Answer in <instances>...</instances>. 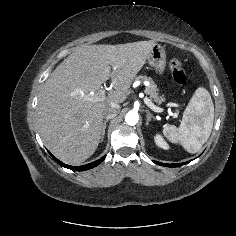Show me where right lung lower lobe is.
I'll return each mask as SVG.
<instances>
[{
	"mask_svg": "<svg viewBox=\"0 0 236 236\" xmlns=\"http://www.w3.org/2000/svg\"><path fill=\"white\" fill-rule=\"evenodd\" d=\"M51 157L58 163L60 164L62 167H65V168H68V169H71V170H74V171H85V170H88V169H91V168H94L96 167L97 165H99L104 159H105V156H103L101 159L99 160H96L92 163H89L87 165H83V166H69V165H66L64 163H62L61 161H59L58 159H56L51 153H50Z\"/></svg>",
	"mask_w": 236,
	"mask_h": 236,
	"instance_id": "obj_1",
	"label": "right lung lower lobe"
}]
</instances>
